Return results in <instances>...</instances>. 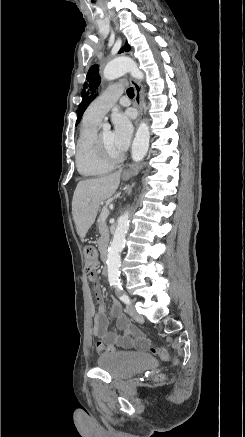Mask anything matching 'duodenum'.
Here are the masks:
<instances>
[{
	"mask_svg": "<svg viewBox=\"0 0 245 437\" xmlns=\"http://www.w3.org/2000/svg\"><path fill=\"white\" fill-rule=\"evenodd\" d=\"M101 259H102V261L103 262H107V260H108V251H107V248L106 247H102L101 248ZM107 267L105 266L104 268H103V271H102V273H103V275H107Z\"/></svg>",
	"mask_w": 245,
	"mask_h": 437,
	"instance_id": "obj_1",
	"label": "duodenum"
}]
</instances>
